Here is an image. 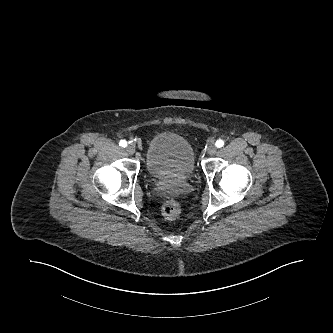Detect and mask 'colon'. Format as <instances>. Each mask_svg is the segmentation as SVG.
Returning a JSON list of instances; mask_svg holds the SVG:
<instances>
[{"instance_id":"1","label":"colon","mask_w":333,"mask_h":333,"mask_svg":"<svg viewBox=\"0 0 333 333\" xmlns=\"http://www.w3.org/2000/svg\"><path fill=\"white\" fill-rule=\"evenodd\" d=\"M162 212L167 219L175 220L181 215V207L177 202L169 200L163 204Z\"/></svg>"}]
</instances>
